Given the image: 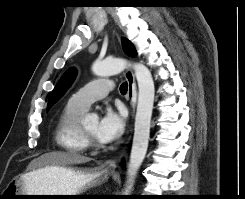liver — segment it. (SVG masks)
Segmentation results:
<instances>
[{
    "mask_svg": "<svg viewBox=\"0 0 245 199\" xmlns=\"http://www.w3.org/2000/svg\"><path fill=\"white\" fill-rule=\"evenodd\" d=\"M91 159L89 157L74 153V152H51L42 155L37 160L38 169L44 167H66L73 164H81L89 162ZM36 169V170H38ZM35 171V170H34ZM33 172V171H32ZM32 172L27 173L24 176L31 175Z\"/></svg>",
    "mask_w": 245,
    "mask_h": 199,
    "instance_id": "obj_1",
    "label": "liver"
}]
</instances>
